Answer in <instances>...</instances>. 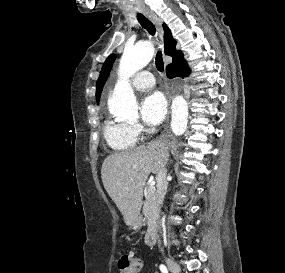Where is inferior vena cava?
I'll return each mask as SVG.
<instances>
[{
  "label": "inferior vena cava",
  "instance_id": "1",
  "mask_svg": "<svg viewBox=\"0 0 285 273\" xmlns=\"http://www.w3.org/2000/svg\"><path fill=\"white\" fill-rule=\"evenodd\" d=\"M166 175H167V169L165 168V165H163L156 176V181H157L156 205L158 211H160V208L163 204L164 197L167 191L168 183L166 180Z\"/></svg>",
  "mask_w": 285,
  "mask_h": 273
}]
</instances>
